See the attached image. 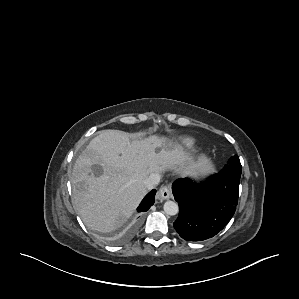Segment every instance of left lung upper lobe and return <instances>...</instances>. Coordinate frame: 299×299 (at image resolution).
Masks as SVG:
<instances>
[{"label":"left lung upper lobe","instance_id":"left-lung-upper-lobe-1","mask_svg":"<svg viewBox=\"0 0 299 299\" xmlns=\"http://www.w3.org/2000/svg\"><path fill=\"white\" fill-rule=\"evenodd\" d=\"M222 171L241 176L242 168H241L239 157L237 155L231 157L230 160L228 161V164L225 165Z\"/></svg>","mask_w":299,"mask_h":299}]
</instances>
